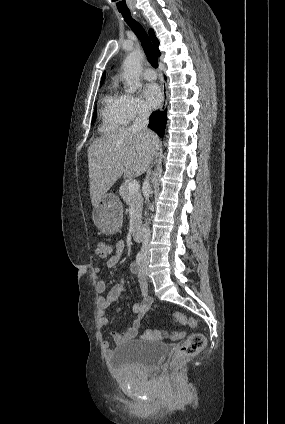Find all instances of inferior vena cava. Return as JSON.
<instances>
[{
    "label": "inferior vena cava",
    "mask_w": 285,
    "mask_h": 424,
    "mask_svg": "<svg viewBox=\"0 0 285 424\" xmlns=\"http://www.w3.org/2000/svg\"><path fill=\"white\" fill-rule=\"evenodd\" d=\"M151 114V110L144 106L140 109L138 116L136 117L134 123L131 126V129L134 131L144 132L146 134H150L151 132L148 130L149 116ZM150 173V172H149ZM144 188L146 190V200L149 201V191H150V183L149 176L146 177L144 181ZM149 209L152 210V207L149 206ZM144 241L142 244V260H149V246H150V238L151 231L147 227L144 232Z\"/></svg>",
    "instance_id": "inferior-vena-cava-1"
}]
</instances>
